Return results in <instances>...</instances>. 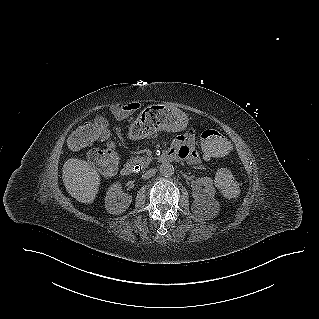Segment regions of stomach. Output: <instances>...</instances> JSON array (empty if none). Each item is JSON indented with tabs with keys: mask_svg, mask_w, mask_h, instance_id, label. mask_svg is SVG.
Masks as SVG:
<instances>
[{
	"mask_svg": "<svg viewBox=\"0 0 319 319\" xmlns=\"http://www.w3.org/2000/svg\"><path fill=\"white\" fill-rule=\"evenodd\" d=\"M189 119L180 109L169 104L148 106L132 121L127 128L128 137L135 142L160 130L169 132L183 131L188 126Z\"/></svg>",
	"mask_w": 319,
	"mask_h": 319,
	"instance_id": "0dacf381",
	"label": "stomach"
}]
</instances>
